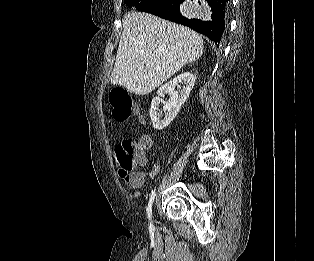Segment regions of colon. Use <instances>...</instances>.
Wrapping results in <instances>:
<instances>
[{"label":"colon","mask_w":314,"mask_h":261,"mask_svg":"<svg viewBox=\"0 0 314 261\" xmlns=\"http://www.w3.org/2000/svg\"><path fill=\"white\" fill-rule=\"evenodd\" d=\"M112 117L117 122H126L137 112V104L124 88H114L109 93ZM149 138H126L115 148L119 174L131 186L139 185L143 174L136 170L139 160L150 146Z\"/></svg>","instance_id":"5ec220e1"}]
</instances>
